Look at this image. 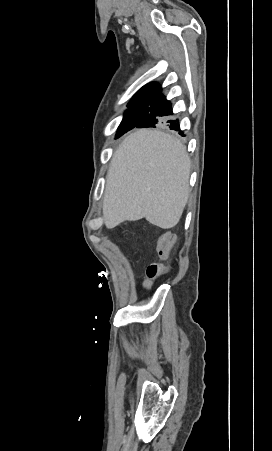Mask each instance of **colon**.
I'll return each mask as SVG.
<instances>
[{"label":"colon","instance_id":"obj_1","mask_svg":"<svg viewBox=\"0 0 272 451\" xmlns=\"http://www.w3.org/2000/svg\"><path fill=\"white\" fill-rule=\"evenodd\" d=\"M175 243H176V236L166 233L165 236L163 237V242L159 246L160 252L162 254H166L167 249L169 247H171L172 245H174ZM165 268L169 269L170 265L166 264ZM145 274H146L147 280L150 283H155L158 280L157 275H159L160 277H163L165 275V272L163 270H161V266L159 264L152 263L146 267ZM149 285H151V284H149Z\"/></svg>","mask_w":272,"mask_h":451}]
</instances>
